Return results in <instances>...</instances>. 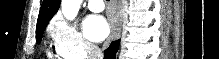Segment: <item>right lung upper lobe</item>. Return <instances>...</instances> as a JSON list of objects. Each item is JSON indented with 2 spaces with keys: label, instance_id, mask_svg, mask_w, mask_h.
Returning a JSON list of instances; mask_svg holds the SVG:
<instances>
[{
  "label": "right lung upper lobe",
  "instance_id": "obj_1",
  "mask_svg": "<svg viewBox=\"0 0 219 59\" xmlns=\"http://www.w3.org/2000/svg\"><path fill=\"white\" fill-rule=\"evenodd\" d=\"M59 6L60 0H43L37 19V28L47 26L49 20L58 11Z\"/></svg>",
  "mask_w": 219,
  "mask_h": 59
}]
</instances>
